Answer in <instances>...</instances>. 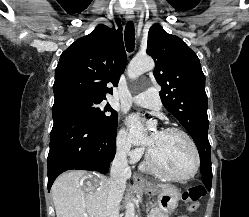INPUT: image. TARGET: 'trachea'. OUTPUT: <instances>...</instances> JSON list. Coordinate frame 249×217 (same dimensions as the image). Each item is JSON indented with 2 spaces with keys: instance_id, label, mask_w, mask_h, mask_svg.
Wrapping results in <instances>:
<instances>
[{
  "instance_id": "obj_1",
  "label": "trachea",
  "mask_w": 249,
  "mask_h": 217,
  "mask_svg": "<svg viewBox=\"0 0 249 217\" xmlns=\"http://www.w3.org/2000/svg\"><path fill=\"white\" fill-rule=\"evenodd\" d=\"M125 44L128 52H132L135 47V29L132 21H129L125 27Z\"/></svg>"
}]
</instances>
